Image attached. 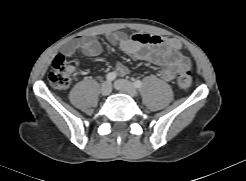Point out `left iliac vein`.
I'll return each instance as SVG.
<instances>
[{"mask_svg":"<svg viewBox=\"0 0 246 181\" xmlns=\"http://www.w3.org/2000/svg\"><path fill=\"white\" fill-rule=\"evenodd\" d=\"M114 87L122 92L127 93L131 97H136L137 90L131 82L124 79H118L114 82Z\"/></svg>","mask_w":246,"mask_h":181,"instance_id":"4c4485c4","label":"left iliac vein"}]
</instances>
